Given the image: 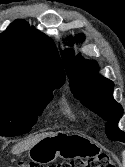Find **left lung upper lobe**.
I'll list each match as a JSON object with an SVG mask.
<instances>
[{
    "instance_id": "obj_1",
    "label": "left lung upper lobe",
    "mask_w": 125,
    "mask_h": 167,
    "mask_svg": "<svg viewBox=\"0 0 125 167\" xmlns=\"http://www.w3.org/2000/svg\"><path fill=\"white\" fill-rule=\"evenodd\" d=\"M78 40L81 41L82 38L78 37ZM62 59L74 96L107 121L105 132L109 139L125 143V133L117 126L123 109L113 99L114 83L97 73L95 61L83 60L80 57L74 60L71 50L62 52Z\"/></svg>"
}]
</instances>
